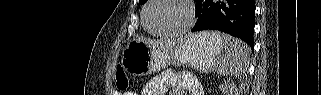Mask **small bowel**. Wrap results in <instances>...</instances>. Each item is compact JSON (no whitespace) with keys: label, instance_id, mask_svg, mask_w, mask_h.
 Masks as SVG:
<instances>
[{"label":"small bowel","instance_id":"c3829d8e","mask_svg":"<svg viewBox=\"0 0 321 95\" xmlns=\"http://www.w3.org/2000/svg\"><path fill=\"white\" fill-rule=\"evenodd\" d=\"M155 85L154 84H149L146 86L144 92L142 93L143 95H161V93H157L155 90ZM197 95L200 94V92L196 93ZM125 95H137L134 92H127Z\"/></svg>","mask_w":321,"mask_h":95}]
</instances>
